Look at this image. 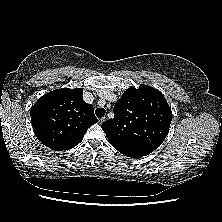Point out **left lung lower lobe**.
Here are the masks:
<instances>
[{
	"instance_id": "1",
	"label": "left lung lower lobe",
	"mask_w": 222,
	"mask_h": 222,
	"mask_svg": "<svg viewBox=\"0 0 222 222\" xmlns=\"http://www.w3.org/2000/svg\"><path fill=\"white\" fill-rule=\"evenodd\" d=\"M113 147L116 148L120 153L131 158H141L154 151L146 147H126V146H113Z\"/></svg>"
}]
</instances>
